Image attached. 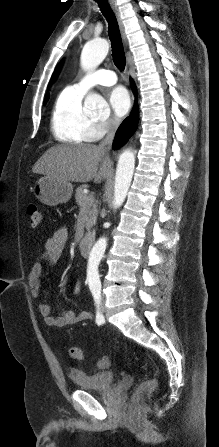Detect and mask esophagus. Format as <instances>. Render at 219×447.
<instances>
[{
  "mask_svg": "<svg viewBox=\"0 0 219 447\" xmlns=\"http://www.w3.org/2000/svg\"><path fill=\"white\" fill-rule=\"evenodd\" d=\"M108 1H109V4H110V6H111V8H112L116 18H117L122 38H123L124 42L126 43V36H125V31H124V25H123L122 18L120 16L119 9H118V7L116 5L115 0H108ZM135 103H136V100H135V97L133 96L132 97V104L134 105Z\"/></svg>",
  "mask_w": 219,
  "mask_h": 447,
  "instance_id": "esophagus-1",
  "label": "esophagus"
}]
</instances>
